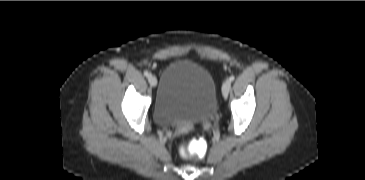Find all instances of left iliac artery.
Wrapping results in <instances>:
<instances>
[{"instance_id": "obj_1", "label": "left iliac artery", "mask_w": 365, "mask_h": 180, "mask_svg": "<svg viewBox=\"0 0 365 180\" xmlns=\"http://www.w3.org/2000/svg\"><path fill=\"white\" fill-rule=\"evenodd\" d=\"M234 79H235V76H233V75L230 76V78H229L230 81H234Z\"/></svg>"}]
</instances>
